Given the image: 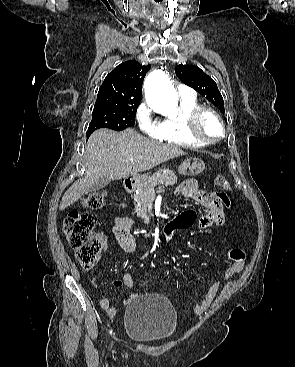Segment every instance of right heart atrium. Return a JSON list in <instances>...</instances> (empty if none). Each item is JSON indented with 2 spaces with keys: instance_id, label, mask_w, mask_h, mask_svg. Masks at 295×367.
<instances>
[{
  "instance_id": "right-heart-atrium-1",
  "label": "right heart atrium",
  "mask_w": 295,
  "mask_h": 367,
  "mask_svg": "<svg viewBox=\"0 0 295 367\" xmlns=\"http://www.w3.org/2000/svg\"><path fill=\"white\" fill-rule=\"evenodd\" d=\"M136 120L140 129L152 138L158 139L162 134V121L155 118L151 107L141 103L136 111Z\"/></svg>"
}]
</instances>
